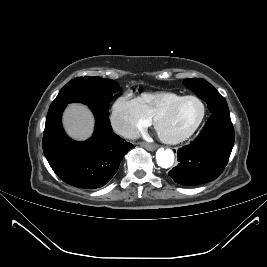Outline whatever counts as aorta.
Here are the masks:
<instances>
[{"instance_id": "obj_1", "label": "aorta", "mask_w": 267, "mask_h": 267, "mask_svg": "<svg viewBox=\"0 0 267 267\" xmlns=\"http://www.w3.org/2000/svg\"><path fill=\"white\" fill-rule=\"evenodd\" d=\"M156 160L158 166L167 169L174 163V153L171 149L159 148L156 152Z\"/></svg>"}]
</instances>
